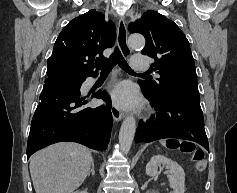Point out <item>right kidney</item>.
<instances>
[{
    "instance_id": "ca27d5eb",
    "label": "right kidney",
    "mask_w": 237,
    "mask_h": 193,
    "mask_svg": "<svg viewBox=\"0 0 237 193\" xmlns=\"http://www.w3.org/2000/svg\"><path fill=\"white\" fill-rule=\"evenodd\" d=\"M74 193H88V192L86 190H84V191H81V192L76 191Z\"/></svg>"
}]
</instances>
